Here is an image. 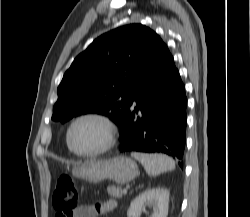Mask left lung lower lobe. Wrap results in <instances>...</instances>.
Wrapping results in <instances>:
<instances>
[{
    "label": "left lung lower lobe",
    "instance_id": "obj_1",
    "mask_svg": "<svg viewBox=\"0 0 250 217\" xmlns=\"http://www.w3.org/2000/svg\"><path fill=\"white\" fill-rule=\"evenodd\" d=\"M186 106L184 84L163 42L154 63L132 91L130 109L120 127L119 150L165 153L183 168Z\"/></svg>",
    "mask_w": 250,
    "mask_h": 217
}]
</instances>
